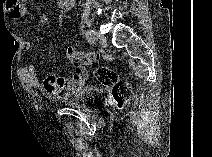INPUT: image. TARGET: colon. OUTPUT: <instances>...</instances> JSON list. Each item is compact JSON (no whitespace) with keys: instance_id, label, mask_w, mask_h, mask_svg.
<instances>
[{"instance_id":"obj_1","label":"colon","mask_w":212,"mask_h":157,"mask_svg":"<svg viewBox=\"0 0 212 157\" xmlns=\"http://www.w3.org/2000/svg\"><path fill=\"white\" fill-rule=\"evenodd\" d=\"M66 59L75 67L74 80L84 83L87 79V67H95L96 75L105 87H111L112 96L119 109H122L131 95V85L128 82L119 80L118 74L111 68L98 64L99 56L96 53H84L75 47H68Z\"/></svg>"}]
</instances>
